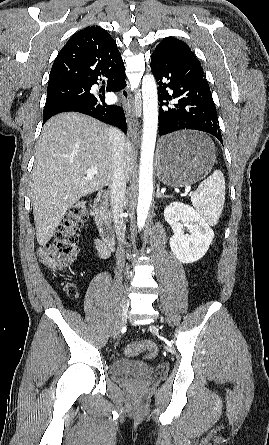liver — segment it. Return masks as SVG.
<instances>
[{
  "mask_svg": "<svg viewBox=\"0 0 269 445\" xmlns=\"http://www.w3.org/2000/svg\"><path fill=\"white\" fill-rule=\"evenodd\" d=\"M106 124L68 112L56 115L42 129L31 178V198L39 245L53 237L67 210L82 197L106 185L113 176L112 137ZM124 172L131 178L135 153L126 141ZM96 167L98 174L88 176Z\"/></svg>",
  "mask_w": 269,
  "mask_h": 445,
  "instance_id": "obj_1",
  "label": "liver"
}]
</instances>
